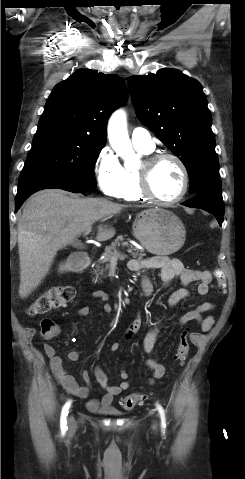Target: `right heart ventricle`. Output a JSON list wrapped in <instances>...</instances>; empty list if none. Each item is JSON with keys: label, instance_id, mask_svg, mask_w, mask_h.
<instances>
[{"label": "right heart ventricle", "instance_id": "right-heart-ventricle-1", "mask_svg": "<svg viewBox=\"0 0 245 479\" xmlns=\"http://www.w3.org/2000/svg\"><path fill=\"white\" fill-rule=\"evenodd\" d=\"M136 149L143 154L150 153V151L144 149ZM118 198L125 201H140L145 199L139 190L138 171L124 169V182L119 192Z\"/></svg>", "mask_w": 245, "mask_h": 479}]
</instances>
